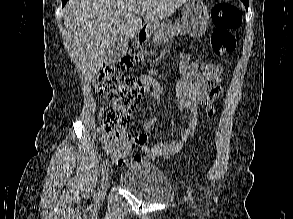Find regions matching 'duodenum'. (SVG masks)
Segmentation results:
<instances>
[{"instance_id": "1", "label": "duodenum", "mask_w": 293, "mask_h": 219, "mask_svg": "<svg viewBox=\"0 0 293 219\" xmlns=\"http://www.w3.org/2000/svg\"><path fill=\"white\" fill-rule=\"evenodd\" d=\"M149 36V29L147 26H143L138 34L139 43H144Z\"/></svg>"}]
</instances>
